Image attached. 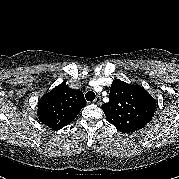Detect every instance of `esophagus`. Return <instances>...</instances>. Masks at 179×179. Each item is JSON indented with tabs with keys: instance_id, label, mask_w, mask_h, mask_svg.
<instances>
[{
	"instance_id": "obj_1",
	"label": "esophagus",
	"mask_w": 179,
	"mask_h": 179,
	"mask_svg": "<svg viewBox=\"0 0 179 179\" xmlns=\"http://www.w3.org/2000/svg\"><path fill=\"white\" fill-rule=\"evenodd\" d=\"M94 103L99 105L101 103V97L97 96L94 100Z\"/></svg>"
}]
</instances>
